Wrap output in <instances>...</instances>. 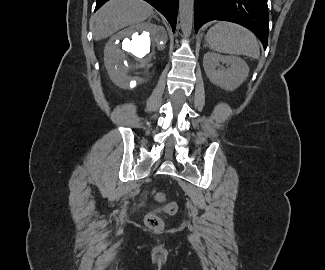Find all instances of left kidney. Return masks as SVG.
I'll return each instance as SVG.
<instances>
[{
	"mask_svg": "<svg viewBox=\"0 0 325 270\" xmlns=\"http://www.w3.org/2000/svg\"><path fill=\"white\" fill-rule=\"evenodd\" d=\"M223 65H226L227 68H224ZM203 66L209 80L228 91L238 88L249 73V67L243 59L213 52H207L204 55Z\"/></svg>",
	"mask_w": 325,
	"mask_h": 270,
	"instance_id": "obj_1",
	"label": "left kidney"
}]
</instances>
